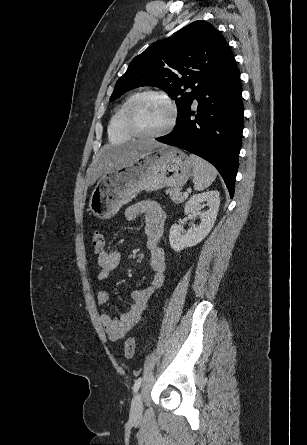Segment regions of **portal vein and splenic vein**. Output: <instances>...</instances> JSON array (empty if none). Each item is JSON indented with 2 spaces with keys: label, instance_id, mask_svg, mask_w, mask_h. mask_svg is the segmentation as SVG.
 <instances>
[{
  "label": "portal vein and splenic vein",
  "instance_id": "portal-vein-and-splenic-vein-1",
  "mask_svg": "<svg viewBox=\"0 0 307 445\" xmlns=\"http://www.w3.org/2000/svg\"><path fill=\"white\" fill-rule=\"evenodd\" d=\"M183 196H188V192H183Z\"/></svg>",
  "mask_w": 307,
  "mask_h": 445
}]
</instances>
